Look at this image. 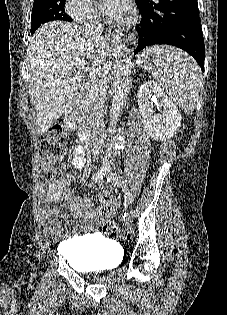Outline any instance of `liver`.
<instances>
[{
    "instance_id": "1",
    "label": "liver",
    "mask_w": 227,
    "mask_h": 315,
    "mask_svg": "<svg viewBox=\"0 0 227 315\" xmlns=\"http://www.w3.org/2000/svg\"><path fill=\"white\" fill-rule=\"evenodd\" d=\"M112 50L100 37L72 23L52 21L30 38L27 50L29 95L37 131H47L74 104L85 63L94 80L110 68Z\"/></svg>"
}]
</instances>
